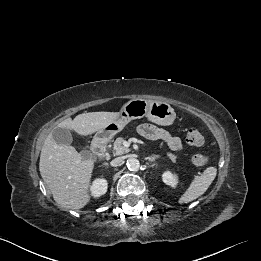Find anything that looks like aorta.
Instances as JSON below:
<instances>
[{
  "instance_id": "aorta-1",
  "label": "aorta",
  "mask_w": 261,
  "mask_h": 261,
  "mask_svg": "<svg viewBox=\"0 0 261 261\" xmlns=\"http://www.w3.org/2000/svg\"><path fill=\"white\" fill-rule=\"evenodd\" d=\"M126 165H127L128 169L132 170V171H137L140 168V162L138 161V159H136L134 157L128 158Z\"/></svg>"
}]
</instances>
